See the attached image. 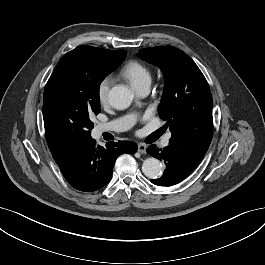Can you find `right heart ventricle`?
<instances>
[{
  "label": "right heart ventricle",
  "mask_w": 265,
  "mask_h": 265,
  "mask_svg": "<svg viewBox=\"0 0 265 265\" xmlns=\"http://www.w3.org/2000/svg\"><path fill=\"white\" fill-rule=\"evenodd\" d=\"M121 75L129 81L132 87L137 90L143 86H150L151 71L139 61L128 62L121 70Z\"/></svg>",
  "instance_id": "obj_1"
}]
</instances>
